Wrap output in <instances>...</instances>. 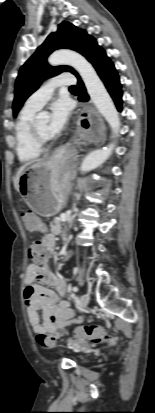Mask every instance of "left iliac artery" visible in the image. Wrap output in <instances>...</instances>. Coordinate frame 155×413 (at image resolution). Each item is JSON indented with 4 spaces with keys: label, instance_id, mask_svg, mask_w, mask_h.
<instances>
[{
    "label": "left iliac artery",
    "instance_id": "44dca946",
    "mask_svg": "<svg viewBox=\"0 0 155 413\" xmlns=\"http://www.w3.org/2000/svg\"><path fill=\"white\" fill-rule=\"evenodd\" d=\"M72 290H73V292H77V291H78V288H77V287H73Z\"/></svg>",
    "mask_w": 155,
    "mask_h": 413
}]
</instances>
